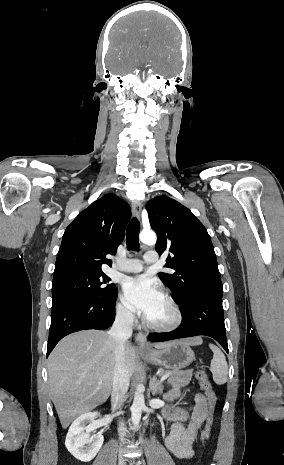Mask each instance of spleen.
I'll list each match as a JSON object with an SVG mask.
<instances>
[{
  "label": "spleen",
  "mask_w": 284,
  "mask_h": 465,
  "mask_svg": "<svg viewBox=\"0 0 284 465\" xmlns=\"http://www.w3.org/2000/svg\"><path fill=\"white\" fill-rule=\"evenodd\" d=\"M213 359L210 365V371L213 375V381L216 385H224L228 381V365L225 355L216 347V345H209Z\"/></svg>",
  "instance_id": "3e777b00"
}]
</instances>
